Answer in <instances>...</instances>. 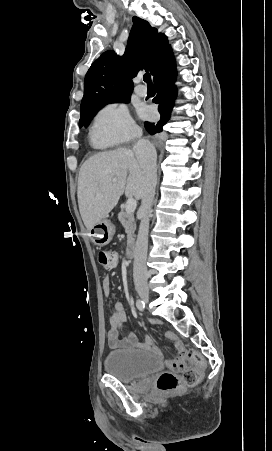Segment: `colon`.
Returning a JSON list of instances; mask_svg holds the SVG:
<instances>
[{"label": "colon", "instance_id": "obj_1", "mask_svg": "<svg viewBox=\"0 0 272 451\" xmlns=\"http://www.w3.org/2000/svg\"><path fill=\"white\" fill-rule=\"evenodd\" d=\"M100 266L107 268L118 262L114 252L101 251L98 254ZM167 364L171 371H164L156 379L155 386L159 391L171 392L184 386H192L199 380V374L204 372V358H196L192 350L181 352L176 358H170ZM181 375V376H180Z\"/></svg>", "mask_w": 272, "mask_h": 451}]
</instances>
